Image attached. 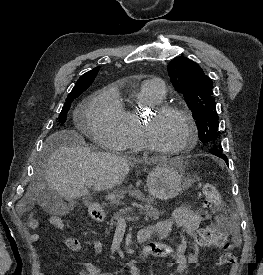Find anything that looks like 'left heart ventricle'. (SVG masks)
Wrapping results in <instances>:
<instances>
[{"instance_id":"1","label":"left heart ventricle","mask_w":263,"mask_h":275,"mask_svg":"<svg viewBox=\"0 0 263 275\" xmlns=\"http://www.w3.org/2000/svg\"><path fill=\"white\" fill-rule=\"evenodd\" d=\"M149 132L154 143L164 149H175L183 144L189 133L186 120L175 114L149 116Z\"/></svg>"}]
</instances>
